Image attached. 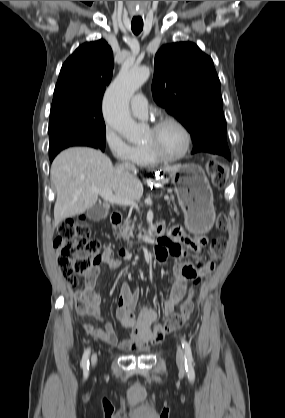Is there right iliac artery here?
I'll list each match as a JSON object with an SVG mask.
<instances>
[{"mask_svg":"<svg viewBox=\"0 0 285 418\" xmlns=\"http://www.w3.org/2000/svg\"><path fill=\"white\" fill-rule=\"evenodd\" d=\"M89 356L90 349L88 348L85 350L81 361V367L83 368L85 374H88L89 371Z\"/></svg>","mask_w":285,"mask_h":418,"instance_id":"right-iliac-artery-1","label":"right iliac artery"}]
</instances>
